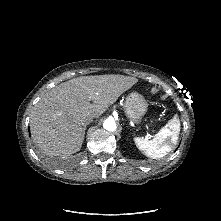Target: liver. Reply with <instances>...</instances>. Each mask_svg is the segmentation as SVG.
Masks as SVG:
<instances>
[{
    "mask_svg": "<svg viewBox=\"0 0 221 221\" xmlns=\"http://www.w3.org/2000/svg\"><path fill=\"white\" fill-rule=\"evenodd\" d=\"M137 82L135 77L112 74L82 76L57 85L41 97L31 112L34 143L47 155L78 152L84 139L82 118L100 117Z\"/></svg>",
    "mask_w": 221,
    "mask_h": 221,
    "instance_id": "1",
    "label": "liver"
}]
</instances>
